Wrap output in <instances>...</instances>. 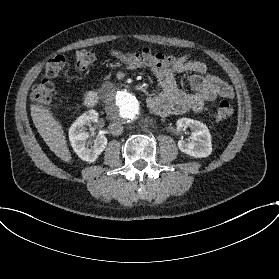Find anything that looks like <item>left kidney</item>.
<instances>
[{
  "mask_svg": "<svg viewBox=\"0 0 279 279\" xmlns=\"http://www.w3.org/2000/svg\"><path fill=\"white\" fill-rule=\"evenodd\" d=\"M178 130L190 128L191 141L180 139L178 148L180 151L194 158L208 157L212 152L211 134L208 127L202 122L190 118H180L176 122Z\"/></svg>",
  "mask_w": 279,
  "mask_h": 279,
  "instance_id": "left-kidney-1",
  "label": "left kidney"
}]
</instances>
